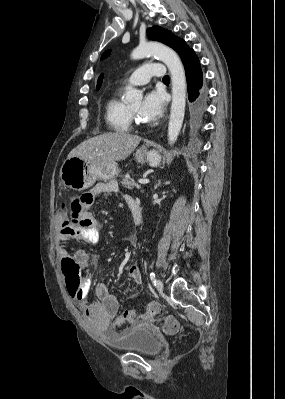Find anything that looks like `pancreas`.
Listing matches in <instances>:
<instances>
[{
	"mask_svg": "<svg viewBox=\"0 0 285 399\" xmlns=\"http://www.w3.org/2000/svg\"><path fill=\"white\" fill-rule=\"evenodd\" d=\"M121 184L128 189H133L134 187H136L137 189L141 188L130 176H125Z\"/></svg>",
	"mask_w": 285,
	"mask_h": 399,
	"instance_id": "obj_1",
	"label": "pancreas"
}]
</instances>
